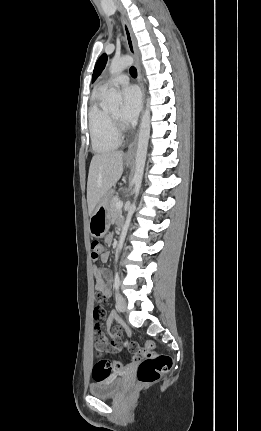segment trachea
Masks as SVG:
<instances>
[{
	"label": "trachea",
	"mask_w": 261,
	"mask_h": 431,
	"mask_svg": "<svg viewBox=\"0 0 261 431\" xmlns=\"http://www.w3.org/2000/svg\"><path fill=\"white\" fill-rule=\"evenodd\" d=\"M130 74L133 76V77H137V70H136V68L135 67H131L130 68Z\"/></svg>",
	"instance_id": "trachea-1"
}]
</instances>
